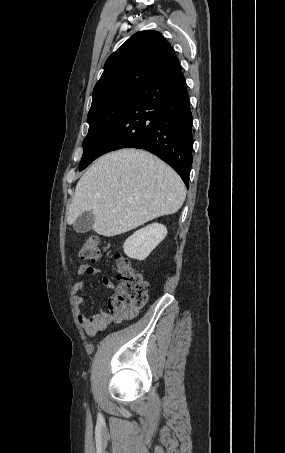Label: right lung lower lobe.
<instances>
[{
    "label": "right lung lower lobe",
    "instance_id": "right-lung-lower-lobe-1",
    "mask_svg": "<svg viewBox=\"0 0 285 453\" xmlns=\"http://www.w3.org/2000/svg\"><path fill=\"white\" fill-rule=\"evenodd\" d=\"M192 123L186 80L178 64L143 85L103 145L100 156L125 147L147 150L168 163L188 187Z\"/></svg>",
    "mask_w": 285,
    "mask_h": 453
}]
</instances>
